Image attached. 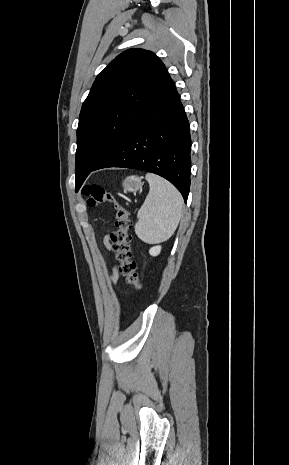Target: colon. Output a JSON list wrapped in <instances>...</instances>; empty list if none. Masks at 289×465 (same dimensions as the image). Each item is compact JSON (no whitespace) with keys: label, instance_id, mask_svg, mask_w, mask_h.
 <instances>
[{"label":"colon","instance_id":"5ec220e1","mask_svg":"<svg viewBox=\"0 0 289 465\" xmlns=\"http://www.w3.org/2000/svg\"><path fill=\"white\" fill-rule=\"evenodd\" d=\"M82 194L86 196L90 207L102 203H110L114 206L116 229L111 233L110 239L116 259L120 264L119 271L135 291H140V276L131 253L132 236L130 231L132 229V220L129 210L117 202L113 195L100 185H87L82 189Z\"/></svg>","mask_w":289,"mask_h":465}]
</instances>
